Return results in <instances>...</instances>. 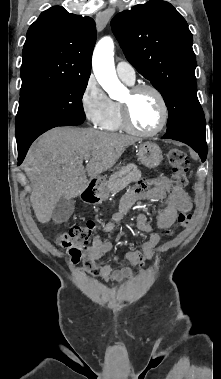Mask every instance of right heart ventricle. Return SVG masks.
Wrapping results in <instances>:
<instances>
[{
  "label": "right heart ventricle",
  "mask_w": 221,
  "mask_h": 379,
  "mask_svg": "<svg viewBox=\"0 0 221 379\" xmlns=\"http://www.w3.org/2000/svg\"><path fill=\"white\" fill-rule=\"evenodd\" d=\"M101 127L109 131H117L124 129L121 118L120 102L111 100V108L109 114L102 123Z\"/></svg>",
  "instance_id": "e07e8e85"
}]
</instances>
